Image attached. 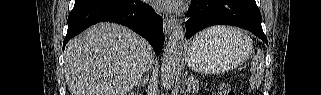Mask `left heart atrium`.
<instances>
[{"label": "left heart atrium", "mask_w": 321, "mask_h": 95, "mask_svg": "<svg viewBox=\"0 0 321 95\" xmlns=\"http://www.w3.org/2000/svg\"><path fill=\"white\" fill-rule=\"evenodd\" d=\"M154 5L164 11L175 10L179 7L181 1L179 0H155Z\"/></svg>", "instance_id": "left-heart-atrium-1"}]
</instances>
